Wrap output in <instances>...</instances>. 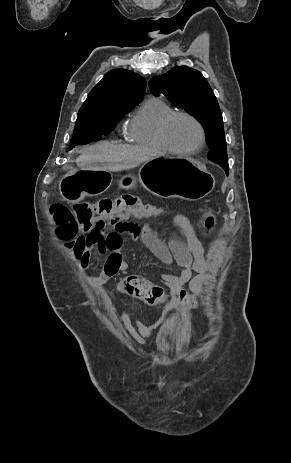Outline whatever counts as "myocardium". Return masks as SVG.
<instances>
[{"instance_id":"f54148a6","label":"myocardium","mask_w":291,"mask_h":463,"mask_svg":"<svg viewBox=\"0 0 291 463\" xmlns=\"http://www.w3.org/2000/svg\"><path fill=\"white\" fill-rule=\"evenodd\" d=\"M178 117L187 118L191 120L197 126L200 137H199V142L197 143L196 146L189 148V149H182V148L175 146L171 142L169 135H168V130H169L171 123ZM159 133H160V138L163 144L165 145V147L169 151L176 153V154H182V155L195 154L204 147L205 142H206V132H205V128L203 124L195 116H193L190 113H186V112H176L175 111L172 114L168 115L161 123Z\"/></svg>"}]
</instances>
